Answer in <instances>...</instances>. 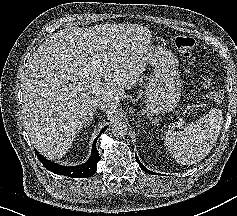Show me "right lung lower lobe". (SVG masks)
Returning <instances> with one entry per match:
<instances>
[{
	"instance_id": "right-lung-lower-lobe-1",
	"label": "right lung lower lobe",
	"mask_w": 237,
	"mask_h": 216,
	"mask_svg": "<svg viewBox=\"0 0 237 216\" xmlns=\"http://www.w3.org/2000/svg\"><path fill=\"white\" fill-rule=\"evenodd\" d=\"M108 126L104 127L100 134L95 138L92 145V153L89 160L78 166H61L54 162H51L40 155L37 150H35L37 157L39 158L40 162L51 172L57 175H64L73 178H87L91 177L97 171V163L99 161V154L96 148V142L98 137L107 129Z\"/></svg>"
}]
</instances>
